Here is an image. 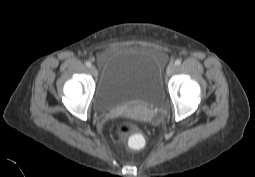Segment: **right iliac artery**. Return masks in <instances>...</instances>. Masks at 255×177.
Returning a JSON list of instances; mask_svg holds the SVG:
<instances>
[{"mask_svg":"<svg viewBox=\"0 0 255 177\" xmlns=\"http://www.w3.org/2000/svg\"><path fill=\"white\" fill-rule=\"evenodd\" d=\"M85 65H86L87 67H91V63H90L89 61H86V62H85Z\"/></svg>","mask_w":255,"mask_h":177,"instance_id":"82829eb1","label":"right iliac artery"}]
</instances>
